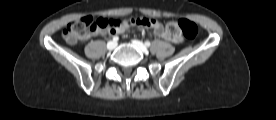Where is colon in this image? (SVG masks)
<instances>
[{
    "label": "colon",
    "instance_id": "colon-1",
    "mask_svg": "<svg viewBox=\"0 0 276 120\" xmlns=\"http://www.w3.org/2000/svg\"><path fill=\"white\" fill-rule=\"evenodd\" d=\"M153 19L137 18L126 20L123 23H117L113 20L106 18L94 19L92 17H83L79 20L71 22L63 30V38L70 44H75L88 35L96 34L98 32H114L122 25H138L150 27ZM166 32L170 35L182 34L187 39L193 40L198 34L197 25L190 20L181 19L179 21H171L166 25Z\"/></svg>",
    "mask_w": 276,
    "mask_h": 120
}]
</instances>
